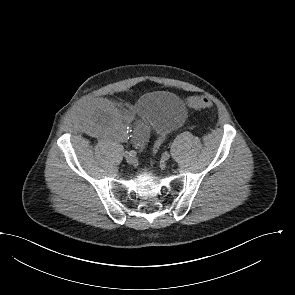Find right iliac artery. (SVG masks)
Returning a JSON list of instances; mask_svg holds the SVG:
<instances>
[{
	"instance_id": "obj_1",
	"label": "right iliac artery",
	"mask_w": 295,
	"mask_h": 295,
	"mask_svg": "<svg viewBox=\"0 0 295 295\" xmlns=\"http://www.w3.org/2000/svg\"><path fill=\"white\" fill-rule=\"evenodd\" d=\"M125 153L129 154L130 156H135L136 155V152L134 150H131L129 152L126 151Z\"/></svg>"
}]
</instances>
